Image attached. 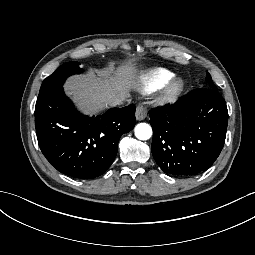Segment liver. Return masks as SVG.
<instances>
[{
	"label": "liver",
	"instance_id": "obj_1",
	"mask_svg": "<svg viewBox=\"0 0 255 255\" xmlns=\"http://www.w3.org/2000/svg\"><path fill=\"white\" fill-rule=\"evenodd\" d=\"M138 78L137 69L128 62L114 72L113 68L109 67L97 72L89 70L85 75L72 76L64 88L79 110L86 115H92L105 109L111 98L130 97V91L138 87Z\"/></svg>",
	"mask_w": 255,
	"mask_h": 255
}]
</instances>
